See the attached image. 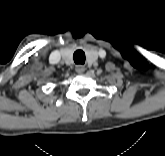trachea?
Here are the masks:
<instances>
[{"label": "trachea", "mask_w": 165, "mask_h": 156, "mask_svg": "<svg viewBox=\"0 0 165 156\" xmlns=\"http://www.w3.org/2000/svg\"><path fill=\"white\" fill-rule=\"evenodd\" d=\"M73 59L76 64L85 63V53L82 50H77L73 54Z\"/></svg>", "instance_id": "1"}]
</instances>
